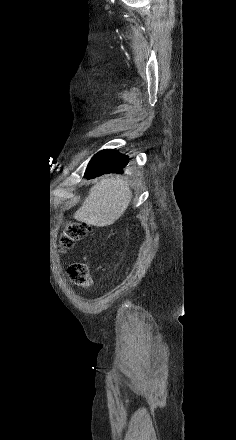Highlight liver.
Masks as SVG:
<instances>
[{
  "label": "liver",
  "instance_id": "obj_1",
  "mask_svg": "<svg viewBox=\"0 0 236 440\" xmlns=\"http://www.w3.org/2000/svg\"><path fill=\"white\" fill-rule=\"evenodd\" d=\"M132 192L129 184L119 176H110L94 185L74 218L87 225H112L126 211Z\"/></svg>",
  "mask_w": 236,
  "mask_h": 440
}]
</instances>
